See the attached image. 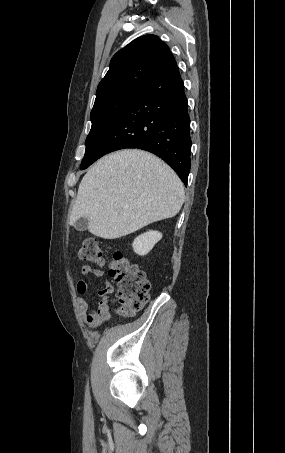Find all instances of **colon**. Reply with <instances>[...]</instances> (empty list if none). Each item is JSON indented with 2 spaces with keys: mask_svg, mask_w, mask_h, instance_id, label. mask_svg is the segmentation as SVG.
<instances>
[{
  "mask_svg": "<svg viewBox=\"0 0 285 453\" xmlns=\"http://www.w3.org/2000/svg\"><path fill=\"white\" fill-rule=\"evenodd\" d=\"M82 261L103 265L104 251L96 237L84 240L79 251ZM109 273L117 284L116 298L124 313L139 311L149 299L150 282L145 272L121 252H114L109 261Z\"/></svg>",
  "mask_w": 285,
  "mask_h": 453,
  "instance_id": "obj_1",
  "label": "colon"
}]
</instances>
